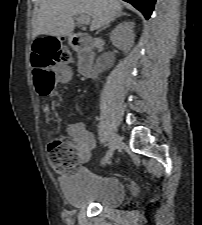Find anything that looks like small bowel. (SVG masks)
Returning a JSON list of instances; mask_svg holds the SVG:
<instances>
[{"mask_svg":"<svg viewBox=\"0 0 202 225\" xmlns=\"http://www.w3.org/2000/svg\"><path fill=\"white\" fill-rule=\"evenodd\" d=\"M64 76L69 78L71 70L69 66L61 68ZM68 134L71 140L76 144L78 152V160L84 164L90 161L92 150L95 147V139L92 133L86 128L84 122H76L68 125Z\"/></svg>","mask_w":202,"mask_h":225,"instance_id":"obj_1","label":"small bowel"}]
</instances>
